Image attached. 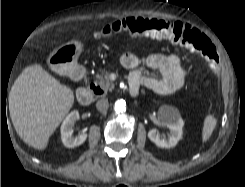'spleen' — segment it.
<instances>
[{
  "instance_id": "obj_1",
  "label": "spleen",
  "mask_w": 245,
  "mask_h": 187,
  "mask_svg": "<svg viewBox=\"0 0 245 187\" xmlns=\"http://www.w3.org/2000/svg\"><path fill=\"white\" fill-rule=\"evenodd\" d=\"M216 118L213 115H207L202 129V141L206 142L210 136L212 135V132L216 126Z\"/></svg>"
}]
</instances>
